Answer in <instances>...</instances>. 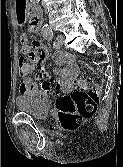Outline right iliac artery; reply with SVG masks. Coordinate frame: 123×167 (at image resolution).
<instances>
[{"mask_svg":"<svg viewBox=\"0 0 123 167\" xmlns=\"http://www.w3.org/2000/svg\"><path fill=\"white\" fill-rule=\"evenodd\" d=\"M48 29H49V28L44 29V30H43V34L47 33V32H48Z\"/></svg>","mask_w":123,"mask_h":167,"instance_id":"82829eb1","label":"right iliac artery"}]
</instances>
